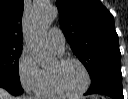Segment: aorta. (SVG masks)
<instances>
[{"label": "aorta", "mask_w": 128, "mask_h": 99, "mask_svg": "<svg viewBox=\"0 0 128 99\" xmlns=\"http://www.w3.org/2000/svg\"><path fill=\"white\" fill-rule=\"evenodd\" d=\"M56 16L57 10L54 6L43 5L34 10L31 18L26 46L37 64L42 67L52 64L56 59L55 53L48 46L45 37L46 28Z\"/></svg>", "instance_id": "obj_1"}]
</instances>
